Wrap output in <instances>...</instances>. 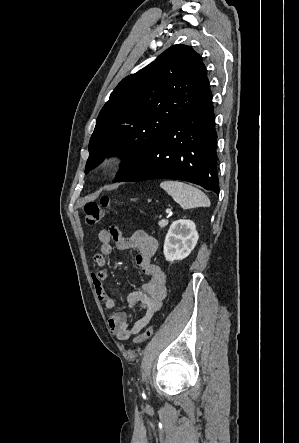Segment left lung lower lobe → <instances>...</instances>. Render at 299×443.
Listing matches in <instances>:
<instances>
[{"label": "left lung lower lobe", "mask_w": 299, "mask_h": 443, "mask_svg": "<svg viewBox=\"0 0 299 443\" xmlns=\"http://www.w3.org/2000/svg\"><path fill=\"white\" fill-rule=\"evenodd\" d=\"M214 119L208 86L136 166L117 181L178 179L219 194Z\"/></svg>", "instance_id": "1"}]
</instances>
